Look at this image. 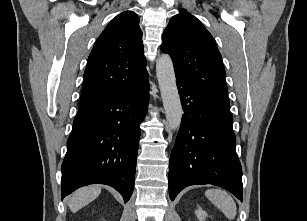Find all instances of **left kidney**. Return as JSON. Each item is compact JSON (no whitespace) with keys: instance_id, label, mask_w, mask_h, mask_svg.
I'll return each instance as SVG.
<instances>
[{"instance_id":"obj_1","label":"left kidney","mask_w":307,"mask_h":221,"mask_svg":"<svg viewBox=\"0 0 307 221\" xmlns=\"http://www.w3.org/2000/svg\"><path fill=\"white\" fill-rule=\"evenodd\" d=\"M195 214L197 215L199 221H205V218L207 217V213L203 211L201 208L196 210Z\"/></svg>"}]
</instances>
